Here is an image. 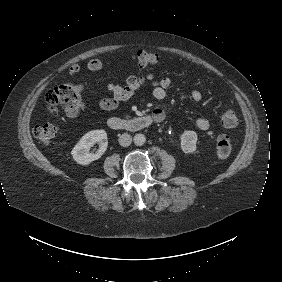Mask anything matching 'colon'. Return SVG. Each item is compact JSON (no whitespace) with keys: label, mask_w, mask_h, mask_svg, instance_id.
<instances>
[{"label":"colon","mask_w":282,"mask_h":282,"mask_svg":"<svg viewBox=\"0 0 282 282\" xmlns=\"http://www.w3.org/2000/svg\"><path fill=\"white\" fill-rule=\"evenodd\" d=\"M159 61L157 53L149 50H141L136 54V64L145 68ZM83 100V90L80 85L69 80H64L46 93L45 101L50 111L57 107H69L72 104H80ZM220 122L223 127L234 128L239 119L231 108H224L220 113ZM58 135V127L54 123H45L35 130L36 138L45 144L51 143ZM232 153V141L224 134L215 139V156L218 160H226Z\"/></svg>","instance_id":"obj_1"}]
</instances>
